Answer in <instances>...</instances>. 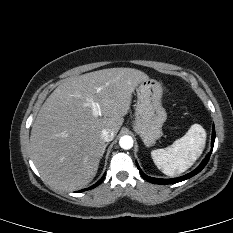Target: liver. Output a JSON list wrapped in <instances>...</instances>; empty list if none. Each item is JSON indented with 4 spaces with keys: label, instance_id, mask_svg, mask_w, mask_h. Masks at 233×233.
Segmentation results:
<instances>
[{
    "label": "liver",
    "instance_id": "1",
    "mask_svg": "<svg viewBox=\"0 0 233 233\" xmlns=\"http://www.w3.org/2000/svg\"><path fill=\"white\" fill-rule=\"evenodd\" d=\"M149 77L134 68H109L67 78L46 99L32 125L31 158L49 185L74 191L95 177L106 144L123 124L138 84ZM92 98L101 115L87 105Z\"/></svg>",
    "mask_w": 233,
    "mask_h": 233
}]
</instances>
